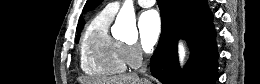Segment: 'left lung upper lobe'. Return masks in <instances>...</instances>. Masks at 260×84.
<instances>
[{"instance_id":"obj_1","label":"left lung upper lobe","mask_w":260,"mask_h":84,"mask_svg":"<svg viewBox=\"0 0 260 84\" xmlns=\"http://www.w3.org/2000/svg\"><path fill=\"white\" fill-rule=\"evenodd\" d=\"M103 0H87L86 5L83 9V11H88L93 8H95L97 5H99Z\"/></svg>"}]
</instances>
